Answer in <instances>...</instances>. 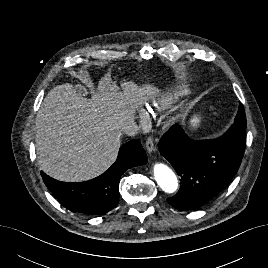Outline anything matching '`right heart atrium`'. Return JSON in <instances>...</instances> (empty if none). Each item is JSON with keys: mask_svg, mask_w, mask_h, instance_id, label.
Here are the masks:
<instances>
[{"mask_svg": "<svg viewBox=\"0 0 268 268\" xmlns=\"http://www.w3.org/2000/svg\"><path fill=\"white\" fill-rule=\"evenodd\" d=\"M139 119L140 120H144L145 119V112L144 111H141L140 114H139Z\"/></svg>", "mask_w": 268, "mask_h": 268, "instance_id": "obj_1", "label": "right heart atrium"}]
</instances>
